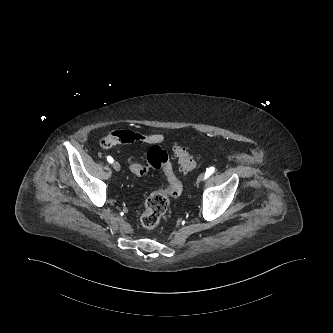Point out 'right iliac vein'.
<instances>
[{
  "mask_svg": "<svg viewBox=\"0 0 333 333\" xmlns=\"http://www.w3.org/2000/svg\"><path fill=\"white\" fill-rule=\"evenodd\" d=\"M113 168L115 171L119 172L121 170V166L117 161L113 162Z\"/></svg>",
  "mask_w": 333,
  "mask_h": 333,
  "instance_id": "right-iliac-vein-1",
  "label": "right iliac vein"
}]
</instances>
